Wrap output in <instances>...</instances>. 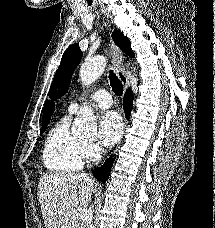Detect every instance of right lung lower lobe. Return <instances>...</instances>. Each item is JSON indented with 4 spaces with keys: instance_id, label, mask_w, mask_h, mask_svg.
<instances>
[{
    "instance_id": "98d812e1",
    "label": "right lung lower lobe",
    "mask_w": 215,
    "mask_h": 228,
    "mask_svg": "<svg viewBox=\"0 0 215 228\" xmlns=\"http://www.w3.org/2000/svg\"><path fill=\"white\" fill-rule=\"evenodd\" d=\"M132 101H133V93L130 89H128L124 95L123 99V106L126 118L129 119L130 112L132 109ZM113 161L111 159H108L105 161V163L94 169L93 174L100 182L105 183L108 180V176L110 173V169L112 167Z\"/></svg>"
}]
</instances>
